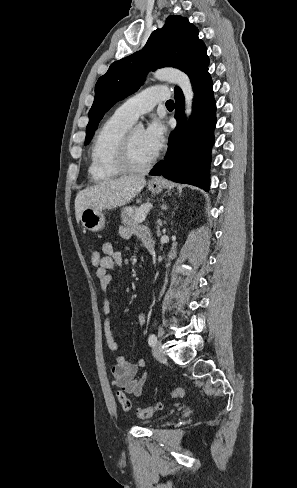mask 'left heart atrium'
Returning <instances> with one entry per match:
<instances>
[{
	"label": "left heart atrium",
	"instance_id": "39dd6f15",
	"mask_svg": "<svg viewBox=\"0 0 297 488\" xmlns=\"http://www.w3.org/2000/svg\"><path fill=\"white\" fill-rule=\"evenodd\" d=\"M165 133V127L158 120L152 121L143 132V142L153 157L157 156L164 146Z\"/></svg>",
	"mask_w": 297,
	"mask_h": 488
}]
</instances>
